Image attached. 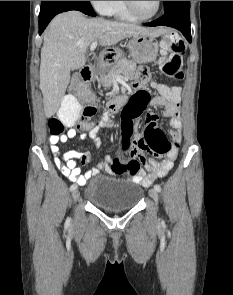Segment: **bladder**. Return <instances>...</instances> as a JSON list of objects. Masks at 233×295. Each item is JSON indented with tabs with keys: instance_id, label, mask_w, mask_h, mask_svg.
Listing matches in <instances>:
<instances>
[{
	"instance_id": "31cf9c89",
	"label": "bladder",
	"mask_w": 233,
	"mask_h": 295,
	"mask_svg": "<svg viewBox=\"0 0 233 295\" xmlns=\"http://www.w3.org/2000/svg\"><path fill=\"white\" fill-rule=\"evenodd\" d=\"M144 195L137 184L120 178L94 177L85 185V198L108 211L120 212L134 208Z\"/></svg>"
}]
</instances>
